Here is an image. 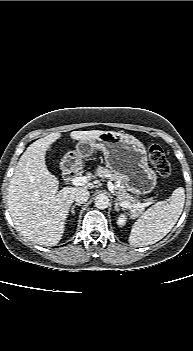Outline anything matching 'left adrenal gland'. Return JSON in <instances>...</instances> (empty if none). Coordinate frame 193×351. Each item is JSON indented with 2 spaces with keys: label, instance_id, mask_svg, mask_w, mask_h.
Segmentation results:
<instances>
[{
  "label": "left adrenal gland",
  "instance_id": "left-adrenal-gland-1",
  "mask_svg": "<svg viewBox=\"0 0 193 351\" xmlns=\"http://www.w3.org/2000/svg\"><path fill=\"white\" fill-rule=\"evenodd\" d=\"M114 209H115L116 211H119V204H118V202H117V199H115Z\"/></svg>",
  "mask_w": 193,
  "mask_h": 351
}]
</instances>
